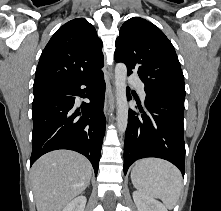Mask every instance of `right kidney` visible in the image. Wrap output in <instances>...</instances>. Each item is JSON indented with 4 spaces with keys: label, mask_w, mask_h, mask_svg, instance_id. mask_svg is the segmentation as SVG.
<instances>
[{
    "label": "right kidney",
    "mask_w": 221,
    "mask_h": 211,
    "mask_svg": "<svg viewBox=\"0 0 221 211\" xmlns=\"http://www.w3.org/2000/svg\"><path fill=\"white\" fill-rule=\"evenodd\" d=\"M86 201V197L80 195L67 204L62 211H84Z\"/></svg>",
    "instance_id": "right-kidney-1"
}]
</instances>
